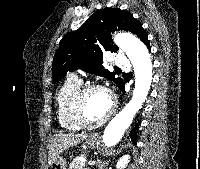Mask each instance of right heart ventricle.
Here are the masks:
<instances>
[{
  "mask_svg": "<svg viewBox=\"0 0 200 169\" xmlns=\"http://www.w3.org/2000/svg\"><path fill=\"white\" fill-rule=\"evenodd\" d=\"M81 89L80 81L69 78L58 90L56 97L57 117L64 130L79 131L81 129L74 114V101Z\"/></svg>",
  "mask_w": 200,
  "mask_h": 169,
  "instance_id": "1",
  "label": "right heart ventricle"
}]
</instances>
